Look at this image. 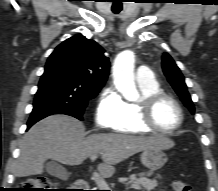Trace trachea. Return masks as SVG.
Wrapping results in <instances>:
<instances>
[{"mask_svg": "<svg viewBox=\"0 0 218 191\" xmlns=\"http://www.w3.org/2000/svg\"><path fill=\"white\" fill-rule=\"evenodd\" d=\"M112 11H113L115 14H117V13H119V12L121 11V9L112 8Z\"/></svg>", "mask_w": 218, "mask_h": 191, "instance_id": "3493384b", "label": "trachea"}]
</instances>
